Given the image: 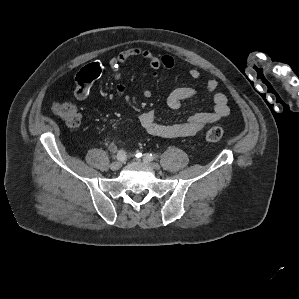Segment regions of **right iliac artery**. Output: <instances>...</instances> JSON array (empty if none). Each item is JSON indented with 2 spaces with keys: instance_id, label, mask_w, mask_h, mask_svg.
Returning <instances> with one entry per match:
<instances>
[{
  "instance_id": "82829eb1",
  "label": "right iliac artery",
  "mask_w": 299,
  "mask_h": 299,
  "mask_svg": "<svg viewBox=\"0 0 299 299\" xmlns=\"http://www.w3.org/2000/svg\"><path fill=\"white\" fill-rule=\"evenodd\" d=\"M116 157L118 160L123 161L126 158V153L123 150H121L117 153Z\"/></svg>"
}]
</instances>
